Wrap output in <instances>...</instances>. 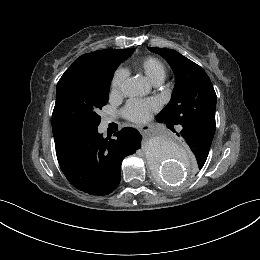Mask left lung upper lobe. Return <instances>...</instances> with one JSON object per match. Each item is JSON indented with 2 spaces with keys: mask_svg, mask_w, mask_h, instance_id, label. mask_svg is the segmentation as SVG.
Here are the masks:
<instances>
[{
  "mask_svg": "<svg viewBox=\"0 0 260 260\" xmlns=\"http://www.w3.org/2000/svg\"><path fill=\"white\" fill-rule=\"evenodd\" d=\"M148 49L163 56L175 74L171 100L157 117L171 125H193L214 136L216 93L206 72L175 50ZM204 163H198L199 169Z\"/></svg>",
  "mask_w": 260,
  "mask_h": 260,
  "instance_id": "left-lung-upper-lobe-1",
  "label": "left lung upper lobe"
}]
</instances>
